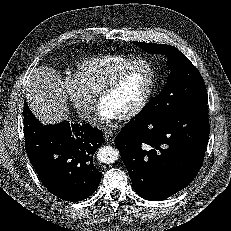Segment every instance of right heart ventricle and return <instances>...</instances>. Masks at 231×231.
<instances>
[{"mask_svg": "<svg viewBox=\"0 0 231 231\" xmlns=\"http://www.w3.org/2000/svg\"><path fill=\"white\" fill-rule=\"evenodd\" d=\"M135 58L124 54H101L80 61L73 75L81 87L97 95L104 83Z\"/></svg>", "mask_w": 231, "mask_h": 231, "instance_id": "obj_1", "label": "right heart ventricle"}]
</instances>
